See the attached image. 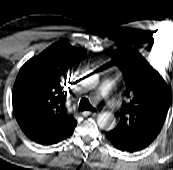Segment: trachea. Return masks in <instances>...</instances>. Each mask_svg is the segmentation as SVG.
Here are the masks:
<instances>
[{
	"instance_id": "obj_1",
	"label": "trachea",
	"mask_w": 173,
	"mask_h": 170,
	"mask_svg": "<svg viewBox=\"0 0 173 170\" xmlns=\"http://www.w3.org/2000/svg\"><path fill=\"white\" fill-rule=\"evenodd\" d=\"M79 109L82 110V111L83 110H89V111H93L94 110L92 105L90 104L89 100L86 99V98H82L80 100Z\"/></svg>"
}]
</instances>
